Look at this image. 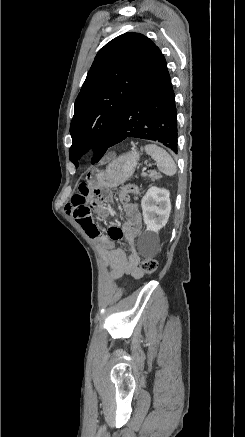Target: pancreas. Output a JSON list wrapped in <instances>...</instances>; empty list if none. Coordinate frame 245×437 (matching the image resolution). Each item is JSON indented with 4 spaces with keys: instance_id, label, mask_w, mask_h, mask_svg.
I'll return each instance as SVG.
<instances>
[{
    "instance_id": "pancreas-1",
    "label": "pancreas",
    "mask_w": 245,
    "mask_h": 437,
    "mask_svg": "<svg viewBox=\"0 0 245 437\" xmlns=\"http://www.w3.org/2000/svg\"><path fill=\"white\" fill-rule=\"evenodd\" d=\"M144 176H147L146 174H144ZM152 181L158 180L160 179V174L157 173L155 170H151L149 171V175H148Z\"/></svg>"
}]
</instances>
